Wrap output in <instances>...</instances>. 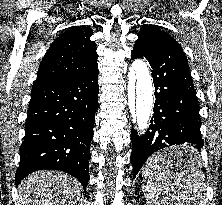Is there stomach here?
<instances>
[{
    "label": "stomach",
    "mask_w": 222,
    "mask_h": 205,
    "mask_svg": "<svg viewBox=\"0 0 222 205\" xmlns=\"http://www.w3.org/2000/svg\"><path fill=\"white\" fill-rule=\"evenodd\" d=\"M185 152H193V148L189 147V146H173V147H169L165 150H163L162 152H160V155L172 158L173 156H175L176 154H181V153H185ZM179 167L183 168L185 171L186 170H191V169H196V168H200V163L198 161V159L190 164L187 165H178ZM178 168V167H177Z\"/></svg>",
    "instance_id": "stomach-1"
}]
</instances>
